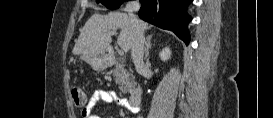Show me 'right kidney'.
<instances>
[{
  "mask_svg": "<svg viewBox=\"0 0 273 118\" xmlns=\"http://www.w3.org/2000/svg\"><path fill=\"white\" fill-rule=\"evenodd\" d=\"M159 57L161 58L162 61H167L171 57V50L170 48L166 47L164 48L160 53Z\"/></svg>",
  "mask_w": 273,
  "mask_h": 118,
  "instance_id": "obj_1",
  "label": "right kidney"
}]
</instances>
